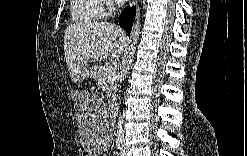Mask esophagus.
Returning a JSON list of instances; mask_svg holds the SVG:
<instances>
[{
	"label": "esophagus",
	"instance_id": "34e87169",
	"mask_svg": "<svg viewBox=\"0 0 247 156\" xmlns=\"http://www.w3.org/2000/svg\"><path fill=\"white\" fill-rule=\"evenodd\" d=\"M134 3V1H130L129 5L131 6Z\"/></svg>",
	"mask_w": 247,
	"mask_h": 156
}]
</instances>
